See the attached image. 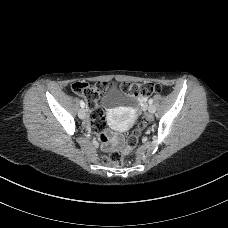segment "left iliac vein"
<instances>
[{"label":"left iliac vein","mask_w":228,"mask_h":228,"mask_svg":"<svg viewBox=\"0 0 228 228\" xmlns=\"http://www.w3.org/2000/svg\"><path fill=\"white\" fill-rule=\"evenodd\" d=\"M155 111H156L155 106H154V105H149V107H148V112H149L150 114H153V113H155Z\"/></svg>","instance_id":"obj_1"}]
</instances>
